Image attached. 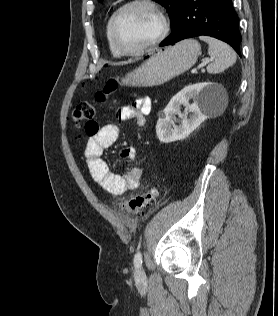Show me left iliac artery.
Masks as SVG:
<instances>
[{"instance_id":"44dca946","label":"left iliac artery","mask_w":278,"mask_h":316,"mask_svg":"<svg viewBox=\"0 0 278 316\" xmlns=\"http://www.w3.org/2000/svg\"><path fill=\"white\" fill-rule=\"evenodd\" d=\"M134 265L136 268H140L142 265V253L138 251L134 256Z\"/></svg>"}]
</instances>
